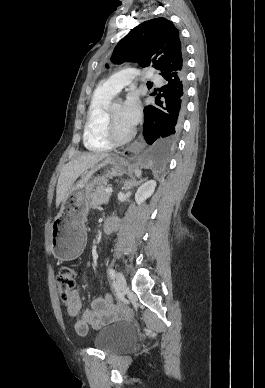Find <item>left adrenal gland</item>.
Instances as JSON below:
<instances>
[{"label":"left adrenal gland","instance_id":"a2214340","mask_svg":"<svg viewBox=\"0 0 265 388\" xmlns=\"http://www.w3.org/2000/svg\"><path fill=\"white\" fill-rule=\"evenodd\" d=\"M144 180H140V182H136L135 178H131V180H126L124 182V188H133V186H140Z\"/></svg>","mask_w":265,"mask_h":388}]
</instances>
